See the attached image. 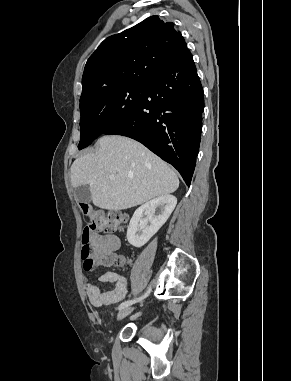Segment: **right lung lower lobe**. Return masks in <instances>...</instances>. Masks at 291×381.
<instances>
[{"label":"right lung lower lobe","mask_w":291,"mask_h":381,"mask_svg":"<svg viewBox=\"0 0 291 381\" xmlns=\"http://www.w3.org/2000/svg\"><path fill=\"white\" fill-rule=\"evenodd\" d=\"M204 94L193 57L186 48L146 82L133 115L104 134L141 142L173 165L189 186L202 131Z\"/></svg>","instance_id":"98d812e1"}]
</instances>
